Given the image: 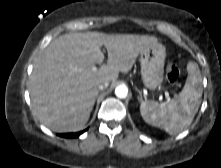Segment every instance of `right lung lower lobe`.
<instances>
[{"label": "right lung lower lobe", "mask_w": 221, "mask_h": 168, "mask_svg": "<svg viewBox=\"0 0 221 168\" xmlns=\"http://www.w3.org/2000/svg\"><path fill=\"white\" fill-rule=\"evenodd\" d=\"M82 132H78V133H66V134H60L61 137H65V138H75L78 137L80 134H82Z\"/></svg>", "instance_id": "98d812e1"}]
</instances>
